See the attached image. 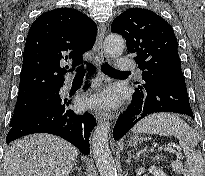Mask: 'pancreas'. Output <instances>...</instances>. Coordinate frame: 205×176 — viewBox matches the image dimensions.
I'll use <instances>...</instances> for the list:
<instances>
[{
	"instance_id": "obj_1",
	"label": "pancreas",
	"mask_w": 205,
	"mask_h": 176,
	"mask_svg": "<svg viewBox=\"0 0 205 176\" xmlns=\"http://www.w3.org/2000/svg\"><path fill=\"white\" fill-rule=\"evenodd\" d=\"M156 160H157V161H158V160L162 161V157L157 156V157H156Z\"/></svg>"
}]
</instances>
